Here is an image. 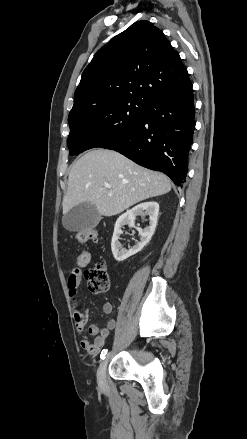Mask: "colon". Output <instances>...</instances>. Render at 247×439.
I'll list each match as a JSON object with an SVG mask.
<instances>
[{
	"instance_id": "1",
	"label": "colon",
	"mask_w": 247,
	"mask_h": 439,
	"mask_svg": "<svg viewBox=\"0 0 247 439\" xmlns=\"http://www.w3.org/2000/svg\"><path fill=\"white\" fill-rule=\"evenodd\" d=\"M76 241L80 245L98 240V233L95 229H85L77 232ZM90 253L87 250L81 251L76 259L80 268H85L90 263ZM85 277L88 282V288L93 293H102L109 288V277L104 265L98 264L85 271Z\"/></svg>"
}]
</instances>
